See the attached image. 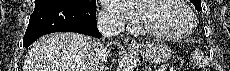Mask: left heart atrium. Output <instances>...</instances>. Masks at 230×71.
<instances>
[{"mask_svg": "<svg viewBox=\"0 0 230 71\" xmlns=\"http://www.w3.org/2000/svg\"><path fill=\"white\" fill-rule=\"evenodd\" d=\"M142 2V1H141ZM138 1L132 0H107V6L122 14L125 18L136 21L143 20V14L141 11V6Z\"/></svg>", "mask_w": 230, "mask_h": 71, "instance_id": "left-heart-atrium-1", "label": "left heart atrium"}]
</instances>
